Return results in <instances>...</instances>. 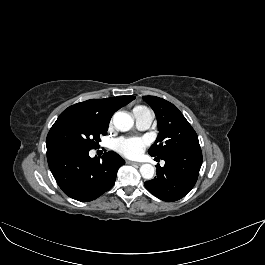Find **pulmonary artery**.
I'll return each mask as SVG.
<instances>
[{
  "instance_id": "pulmonary-artery-1",
  "label": "pulmonary artery",
  "mask_w": 265,
  "mask_h": 265,
  "mask_svg": "<svg viewBox=\"0 0 265 265\" xmlns=\"http://www.w3.org/2000/svg\"><path fill=\"white\" fill-rule=\"evenodd\" d=\"M136 126L140 130H146L152 122V114L149 110H144L135 116Z\"/></svg>"
}]
</instances>
